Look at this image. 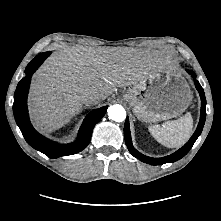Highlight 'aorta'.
I'll use <instances>...</instances> for the list:
<instances>
[{
	"label": "aorta",
	"mask_w": 221,
	"mask_h": 221,
	"mask_svg": "<svg viewBox=\"0 0 221 221\" xmlns=\"http://www.w3.org/2000/svg\"><path fill=\"white\" fill-rule=\"evenodd\" d=\"M108 117L113 121L123 122L126 118V111L121 105L115 104L108 108Z\"/></svg>",
	"instance_id": "obj_1"
}]
</instances>
